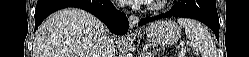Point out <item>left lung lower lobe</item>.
<instances>
[{
	"mask_svg": "<svg viewBox=\"0 0 249 57\" xmlns=\"http://www.w3.org/2000/svg\"><path fill=\"white\" fill-rule=\"evenodd\" d=\"M166 17H185L199 20L210 27L219 39V18L215 0H174L173 7L166 13L140 20L139 26Z\"/></svg>",
	"mask_w": 249,
	"mask_h": 57,
	"instance_id": "obj_1",
	"label": "left lung lower lobe"
}]
</instances>
